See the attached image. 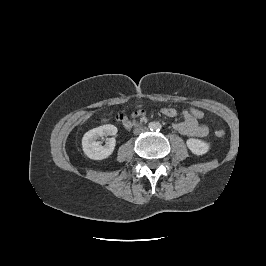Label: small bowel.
<instances>
[{
	"label": "small bowel",
	"mask_w": 266,
	"mask_h": 266,
	"mask_svg": "<svg viewBox=\"0 0 266 266\" xmlns=\"http://www.w3.org/2000/svg\"><path fill=\"white\" fill-rule=\"evenodd\" d=\"M161 112L163 115L170 118H174L179 114L178 110L173 107H164ZM143 114L144 111L141 109L134 113L135 116H141ZM182 115L184 117V121L176 123L173 126L178 133L190 137H203L208 134V126L193 118L187 110H184Z\"/></svg>",
	"instance_id": "1"
}]
</instances>
